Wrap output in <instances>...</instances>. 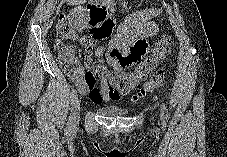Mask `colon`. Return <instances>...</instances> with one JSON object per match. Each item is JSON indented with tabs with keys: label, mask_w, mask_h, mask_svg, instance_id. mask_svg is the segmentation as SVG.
I'll return each mask as SVG.
<instances>
[{
	"label": "colon",
	"mask_w": 227,
	"mask_h": 157,
	"mask_svg": "<svg viewBox=\"0 0 227 157\" xmlns=\"http://www.w3.org/2000/svg\"><path fill=\"white\" fill-rule=\"evenodd\" d=\"M89 12L90 16H102L96 12V9H89ZM91 26L96 27V25ZM56 31L59 38L54 45L57 60L68 73L74 74L75 68L80 64L77 49L73 45L65 43L63 40L78 41L84 47L82 58L87 70V80L90 83H95L97 78H106L110 86L121 94L131 90L133 76H147L162 59L170 54L173 45L172 37L170 35H163L156 40L152 52L144 60L138 62L133 72L117 73L110 72L103 65L97 64L92 57L96 40L107 37L111 30H108V32H93L90 36H81L72 28L66 18L61 17L58 21ZM123 63L131 65L136 62ZM163 79L164 74L162 72L154 74L150 80L133 95L132 101L136 102L154 89L160 87Z\"/></svg>",
	"instance_id": "1"
}]
</instances>
